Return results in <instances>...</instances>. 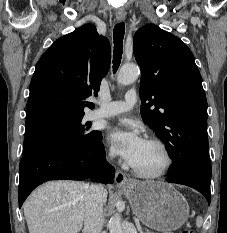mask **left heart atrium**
I'll return each instance as SVG.
<instances>
[{"instance_id": "obj_1", "label": "left heart atrium", "mask_w": 227, "mask_h": 233, "mask_svg": "<svg viewBox=\"0 0 227 233\" xmlns=\"http://www.w3.org/2000/svg\"><path fill=\"white\" fill-rule=\"evenodd\" d=\"M109 140L114 149L129 164H132L143 148L146 140L135 126L114 127L109 132Z\"/></svg>"}]
</instances>
